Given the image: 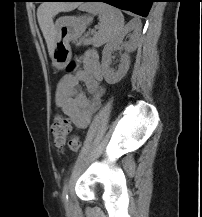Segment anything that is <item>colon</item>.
Segmentation results:
<instances>
[{
	"label": "colon",
	"instance_id": "colon-1",
	"mask_svg": "<svg viewBox=\"0 0 202 217\" xmlns=\"http://www.w3.org/2000/svg\"><path fill=\"white\" fill-rule=\"evenodd\" d=\"M76 67L75 63H70L69 71H73ZM51 133L56 147L63 148L66 143L69 148L78 152L81 148V141L77 135H69V118L64 115H57L51 125Z\"/></svg>",
	"mask_w": 202,
	"mask_h": 217
}]
</instances>
